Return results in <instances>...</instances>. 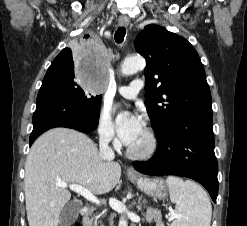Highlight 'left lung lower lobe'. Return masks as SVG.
I'll use <instances>...</instances> for the list:
<instances>
[{
	"label": "left lung lower lobe",
	"mask_w": 247,
	"mask_h": 226,
	"mask_svg": "<svg viewBox=\"0 0 247 226\" xmlns=\"http://www.w3.org/2000/svg\"><path fill=\"white\" fill-rule=\"evenodd\" d=\"M157 152L134 168L147 175H178L201 183L216 202L218 163L214 153L212 110H200L176 121L167 132L156 134Z\"/></svg>",
	"instance_id": "0a47b994"
}]
</instances>
